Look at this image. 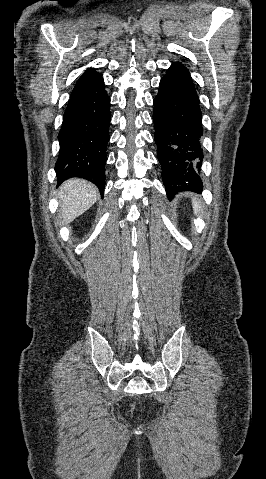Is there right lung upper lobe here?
I'll use <instances>...</instances> for the list:
<instances>
[{"instance_id":"right-lung-upper-lobe-1","label":"right lung upper lobe","mask_w":266,"mask_h":479,"mask_svg":"<svg viewBox=\"0 0 266 479\" xmlns=\"http://www.w3.org/2000/svg\"><path fill=\"white\" fill-rule=\"evenodd\" d=\"M94 74H96L95 70L90 68V69H87L85 71V73L82 75V77L91 76V75H94Z\"/></svg>"}]
</instances>
